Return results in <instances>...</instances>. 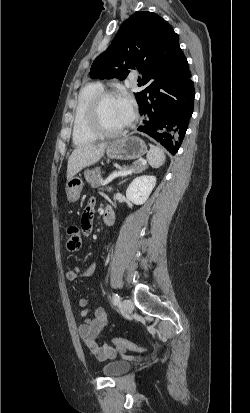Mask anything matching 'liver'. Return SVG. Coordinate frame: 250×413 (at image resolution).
I'll list each match as a JSON object with an SVG mask.
<instances>
[{
	"instance_id": "obj_1",
	"label": "liver",
	"mask_w": 250,
	"mask_h": 413,
	"mask_svg": "<svg viewBox=\"0 0 250 413\" xmlns=\"http://www.w3.org/2000/svg\"><path fill=\"white\" fill-rule=\"evenodd\" d=\"M108 143L85 144L76 147L68 159L67 180L73 178L83 168L95 164L104 155Z\"/></svg>"
}]
</instances>
